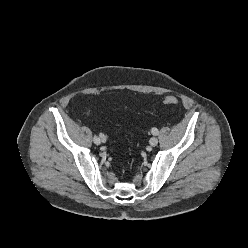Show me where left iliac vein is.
<instances>
[{
	"mask_svg": "<svg viewBox=\"0 0 248 248\" xmlns=\"http://www.w3.org/2000/svg\"><path fill=\"white\" fill-rule=\"evenodd\" d=\"M151 146H156L158 144V139L156 137H152L149 140Z\"/></svg>",
	"mask_w": 248,
	"mask_h": 248,
	"instance_id": "left-iliac-vein-1",
	"label": "left iliac vein"
}]
</instances>
